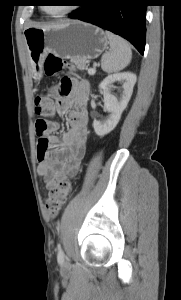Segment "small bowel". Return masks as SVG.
I'll return each instance as SVG.
<instances>
[{"label":"small bowel","instance_id":"c3829d8e","mask_svg":"<svg viewBox=\"0 0 181 300\" xmlns=\"http://www.w3.org/2000/svg\"><path fill=\"white\" fill-rule=\"evenodd\" d=\"M53 91L56 94L55 111L67 117L69 129L57 136L60 123L48 121L46 137L38 140V174L48 189L55 188L61 179L79 170L88 141V84L73 77H63Z\"/></svg>","mask_w":181,"mask_h":300}]
</instances>
